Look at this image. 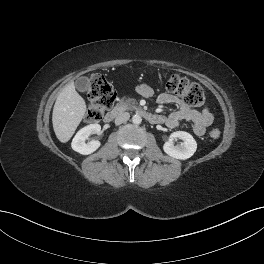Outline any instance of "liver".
Here are the masks:
<instances>
[{
  "label": "liver",
  "instance_id": "liver-1",
  "mask_svg": "<svg viewBox=\"0 0 264 264\" xmlns=\"http://www.w3.org/2000/svg\"><path fill=\"white\" fill-rule=\"evenodd\" d=\"M85 112V100L75 90L74 82H70L59 93L53 108V129L60 142L70 140Z\"/></svg>",
  "mask_w": 264,
  "mask_h": 264
}]
</instances>
